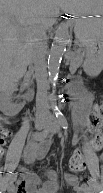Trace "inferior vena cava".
Instances as JSON below:
<instances>
[{
	"label": "inferior vena cava",
	"mask_w": 103,
	"mask_h": 193,
	"mask_svg": "<svg viewBox=\"0 0 103 193\" xmlns=\"http://www.w3.org/2000/svg\"><path fill=\"white\" fill-rule=\"evenodd\" d=\"M46 49L47 42L45 33L38 34L32 38L30 50L31 57L34 63L35 77L37 82V96H36V116L37 118H47L50 115L47 93L49 83L47 81L46 71Z\"/></svg>",
	"instance_id": "obj_1"
}]
</instances>
